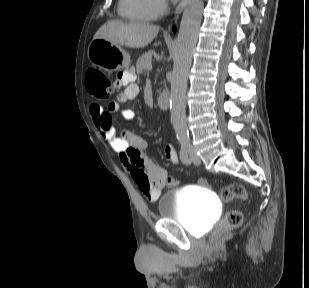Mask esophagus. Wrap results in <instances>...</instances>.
<instances>
[{
	"label": "esophagus",
	"instance_id": "obj_1",
	"mask_svg": "<svg viewBox=\"0 0 309 288\" xmlns=\"http://www.w3.org/2000/svg\"><path fill=\"white\" fill-rule=\"evenodd\" d=\"M189 0H181V2L178 4L176 10H175V17L174 20L176 21L180 14L182 13V11L184 10L185 6L188 4ZM171 27H169L170 30Z\"/></svg>",
	"mask_w": 309,
	"mask_h": 288
}]
</instances>
